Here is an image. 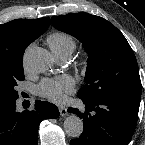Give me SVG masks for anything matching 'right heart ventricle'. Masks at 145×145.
<instances>
[{
    "instance_id": "e07e8e85",
    "label": "right heart ventricle",
    "mask_w": 145,
    "mask_h": 145,
    "mask_svg": "<svg viewBox=\"0 0 145 145\" xmlns=\"http://www.w3.org/2000/svg\"><path fill=\"white\" fill-rule=\"evenodd\" d=\"M47 44L55 56L60 54L71 55L76 47L74 38L62 31H55L48 35Z\"/></svg>"
}]
</instances>
